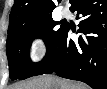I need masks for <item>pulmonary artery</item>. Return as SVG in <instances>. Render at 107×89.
Masks as SVG:
<instances>
[{
	"instance_id": "1",
	"label": "pulmonary artery",
	"mask_w": 107,
	"mask_h": 89,
	"mask_svg": "<svg viewBox=\"0 0 107 89\" xmlns=\"http://www.w3.org/2000/svg\"><path fill=\"white\" fill-rule=\"evenodd\" d=\"M61 14L63 17H68L70 15V12L67 8H63Z\"/></svg>"
}]
</instances>
